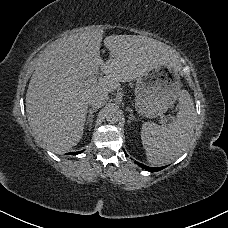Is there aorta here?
<instances>
[{
  "label": "aorta",
  "instance_id": "aorta-1",
  "mask_svg": "<svg viewBox=\"0 0 228 228\" xmlns=\"http://www.w3.org/2000/svg\"><path fill=\"white\" fill-rule=\"evenodd\" d=\"M118 115H119L118 109L115 107H111L107 110L106 119L111 123L116 122L118 120Z\"/></svg>",
  "mask_w": 228,
  "mask_h": 228
}]
</instances>
